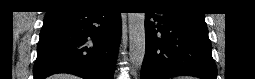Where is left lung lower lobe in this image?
Segmentation results:
<instances>
[{
    "mask_svg": "<svg viewBox=\"0 0 255 79\" xmlns=\"http://www.w3.org/2000/svg\"><path fill=\"white\" fill-rule=\"evenodd\" d=\"M145 36L141 79H168L181 75L216 79L217 69L204 14L173 7L147 12Z\"/></svg>",
    "mask_w": 255,
    "mask_h": 79,
    "instance_id": "1",
    "label": "left lung lower lobe"
}]
</instances>
